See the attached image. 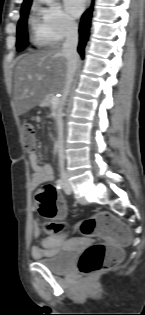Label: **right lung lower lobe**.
<instances>
[{
    "instance_id": "1",
    "label": "right lung lower lobe",
    "mask_w": 145,
    "mask_h": 315,
    "mask_svg": "<svg viewBox=\"0 0 145 315\" xmlns=\"http://www.w3.org/2000/svg\"><path fill=\"white\" fill-rule=\"evenodd\" d=\"M91 17H92V8H90L83 14L81 18L80 26H79L78 52L80 53L82 57L84 56V49H85L86 42L89 37Z\"/></svg>"
}]
</instances>
